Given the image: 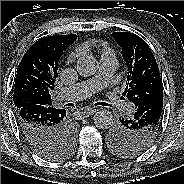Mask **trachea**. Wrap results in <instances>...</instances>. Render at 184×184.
Wrapping results in <instances>:
<instances>
[{
    "label": "trachea",
    "instance_id": "1",
    "mask_svg": "<svg viewBox=\"0 0 184 184\" xmlns=\"http://www.w3.org/2000/svg\"><path fill=\"white\" fill-rule=\"evenodd\" d=\"M97 105L108 106V107L112 106L111 104H108V103H105V102H99V103H97Z\"/></svg>",
    "mask_w": 184,
    "mask_h": 184
}]
</instances>
